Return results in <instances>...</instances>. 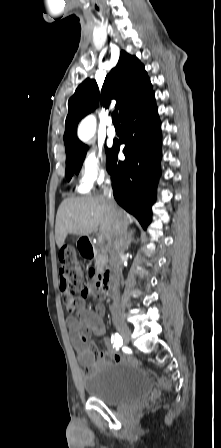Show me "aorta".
Here are the masks:
<instances>
[{
    "mask_svg": "<svg viewBox=\"0 0 221 448\" xmlns=\"http://www.w3.org/2000/svg\"><path fill=\"white\" fill-rule=\"evenodd\" d=\"M95 131V120L93 117H87L84 119L79 128L78 136L81 140L87 141Z\"/></svg>",
    "mask_w": 221,
    "mask_h": 448,
    "instance_id": "aorta-1",
    "label": "aorta"
}]
</instances>
